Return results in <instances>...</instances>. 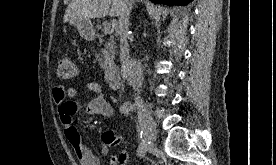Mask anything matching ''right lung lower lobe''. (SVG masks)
Segmentation results:
<instances>
[{
    "instance_id": "obj_1",
    "label": "right lung lower lobe",
    "mask_w": 276,
    "mask_h": 165,
    "mask_svg": "<svg viewBox=\"0 0 276 165\" xmlns=\"http://www.w3.org/2000/svg\"><path fill=\"white\" fill-rule=\"evenodd\" d=\"M154 3L158 4H166V5H187L192 0H150Z\"/></svg>"
}]
</instances>
